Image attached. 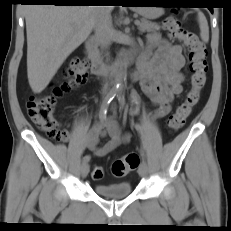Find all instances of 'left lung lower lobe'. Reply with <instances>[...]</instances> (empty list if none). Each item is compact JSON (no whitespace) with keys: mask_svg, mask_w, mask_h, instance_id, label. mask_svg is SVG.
<instances>
[{"mask_svg":"<svg viewBox=\"0 0 231 231\" xmlns=\"http://www.w3.org/2000/svg\"><path fill=\"white\" fill-rule=\"evenodd\" d=\"M209 10L213 13V8L212 7H209Z\"/></svg>","mask_w":231,"mask_h":231,"instance_id":"left-lung-lower-lobe-1","label":"left lung lower lobe"}]
</instances>
